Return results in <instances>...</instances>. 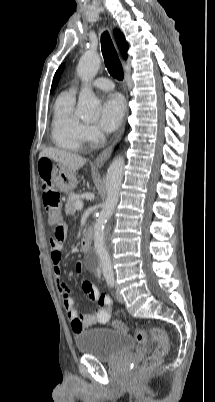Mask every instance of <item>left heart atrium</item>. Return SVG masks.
<instances>
[{
  "label": "left heart atrium",
  "instance_id": "obj_1",
  "mask_svg": "<svg viewBox=\"0 0 215 402\" xmlns=\"http://www.w3.org/2000/svg\"><path fill=\"white\" fill-rule=\"evenodd\" d=\"M124 114L123 98L118 94H111L102 103L99 124L106 131H113L121 124Z\"/></svg>",
  "mask_w": 215,
  "mask_h": 402
}]
</instances>
